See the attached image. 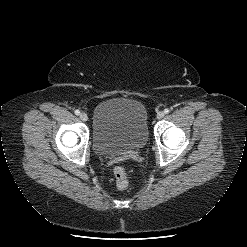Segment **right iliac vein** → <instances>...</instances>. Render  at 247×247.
I'll use <instances>...</instances> for the list:
<instances>
[{
	"instance_id": "1",
	"label": "right iliac vein",
	"mask_w": 247,
	"mask_h": 247,
	"mask_svg": "<svg viewBox=\"0 0 247 247\" xmlns=\"http://www.w3.org/2000/svg\"><path fill=\"white\" fill-rule=\"evenodd\" d=\"M80 119H81L82 121H87V120H88L87 114H86L85 112H82V113L80 114Z\"/></svg>"
}]
</instances>
